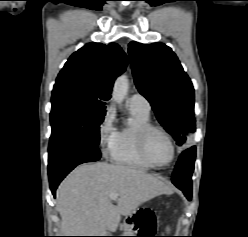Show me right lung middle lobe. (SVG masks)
I'll return each instance as SVG.
<instances>
[{
	"label": "right lung middle lobe",
	"instance_id": "dd1d6c3e",
	"mask_svg": "<svg viewBox=\"0 0 248 237\" xmlns=\"http://www.w3.org/2000/svg\"><path fill=\"white\" fill-rule=\"evenodd\" d=\"M106 110L96 109L75 101L52 102L50 140L63 139L72 142H87L98 145L99 127Z\"/></svg>",
	"mask_w": 248,
	"mask_h": 237
}]
</instances>
